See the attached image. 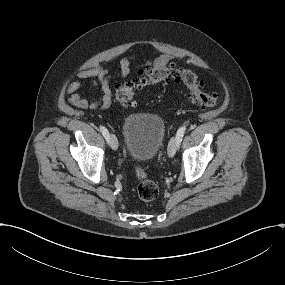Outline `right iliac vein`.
<instances>
[{
  "mask_svg": "<svg viewBox=\"0 0 285 285\" xmlns=\"http://www.w3.org/2000/svg\"><path fill=\"white\" fill-rule=\"evenodd\" d=\"M108 141L112 149L116 150L118 148V140L114 134L109 135Z\"/></svg>",
  "mask_w": 285,
  "mask_h": 285,
  "instance_id": "right-iliac-vein-1",
  "label": "right iliac vein"
}]
</instances>
